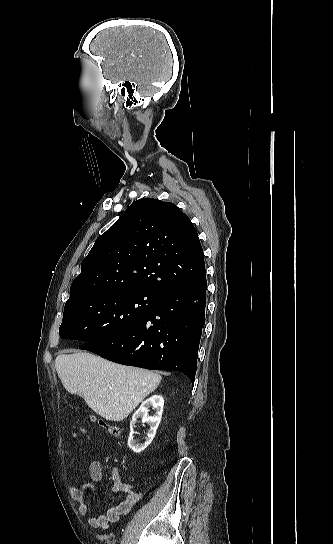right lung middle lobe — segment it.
<instances>
[{
  "label": "right lung middle lobe",
  "mask_w": 333,
  "mask_h": 544,
  "mask_svg": "<svg viewBox=\"0 0 333 544\" xmlns=\"http://www.w3.org/2000/svg\"><path fill=\"white\" fill-rule=\"evenodd\" d=\"M160 296L146 291L103 292L66 303L61 338L83 341L80 347L135 325L158 302Z\"/></svg>",
  "instance_id": "dd1d6c3e"
}]
</instances>
